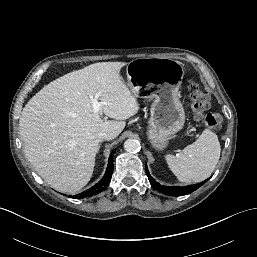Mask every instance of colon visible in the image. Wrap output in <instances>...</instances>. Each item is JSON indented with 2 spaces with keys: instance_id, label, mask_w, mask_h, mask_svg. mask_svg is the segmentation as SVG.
<instances>
[{
  "instance_id": "obj_1",
  "label": "colon",
  "mask_w": 257,
  "mask_h": 257,
  "mask_svg": "<svg viewBox=\"0 0 257 257\" xmlns=\"http://www.w3.org/2000/svg\"><path fill=\"white\" fill-rule=\"evenodd\" d=\"M189 92L192 107L196 115L202 119L207 127L219 129L221 127L222 118L218 113L207 112L209 108V98L207 94L202 91L201 86L191 80L189 82Z\"/></svg>"
}]
</instances>
